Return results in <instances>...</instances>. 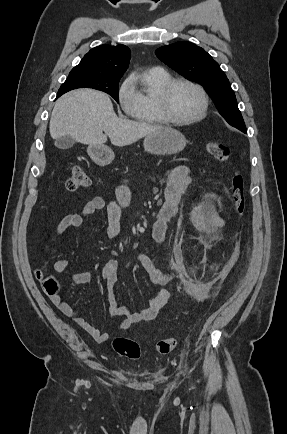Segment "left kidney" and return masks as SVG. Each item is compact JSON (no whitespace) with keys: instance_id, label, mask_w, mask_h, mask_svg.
<instances>
[{"instance_id":"5707ae66","label":"left kidney","mask_w":287,"mask_h":434,"mask_svg":"<svg viewBox=\"0 0 287 434\" xmlns=\"http://www.w3.org/2000/svg\"><path fill=\"white\" fill-rule=\"evenodd\" d=\"M194 214H195V213H192V219L194 218Z\"/></svg>"}]
</instances>
